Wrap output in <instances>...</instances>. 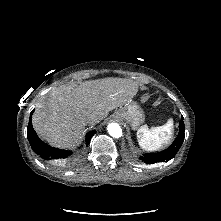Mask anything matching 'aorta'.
<instances>
[{
    "mask_svg": "<svg viewBox=\"0 0 221 221\" xmlns=\"http://www.w3.org/2000/svg\"><path fill=\"white\" fill-rule=\"evenodd\" d=\"M107 130L110 136L114 138H120L122 136V129L117 123H110L107 126Z\"/></svg>",
    "mask_w": 221,
    "mask_h": 221,
    "instance_id": "obj_1",
    "label": "aorta"
}]
</instances>
